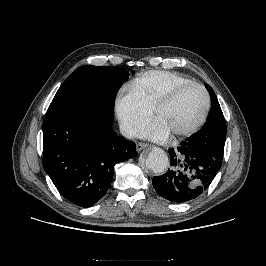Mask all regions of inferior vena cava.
I'll return each instance as SVG.
<instances>
[{"mask_svg":"<svg viewBox=\"0 0 266 266\" xmlns=\"http://www.w3.org/2000/svg\"><path fill=\"white\" fill-rule=\"evenodd\" d=\"M120 132L126 138H134L136 135V128L130 124L122 123L120 124Z\"/></svg>","mask_w":266,"mask_h":266,"instance_id":"1","label":"inferior vena cava"}]
</instances>
